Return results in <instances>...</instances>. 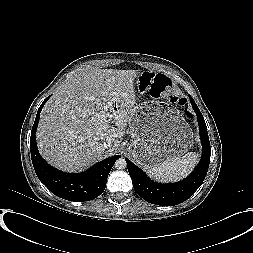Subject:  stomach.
<instances>
[{
	"instance_id": "0dacf381",
	"label": "stomach",
	"mask_w": 253,
	"mask_h": 253,
	"mask_svg": "<svg viewBox=\"0 0 253 253\" xmlns=\"http://www.w3.org/2000/svg\"><path fill=\"white\" fill-rule=\"evenodd\" d=\"M128 124L133 139L127 150L144 169L181 157L193 143V132L184 116L165 101L137 104Z\"/></svg>"
}]
</instances>
